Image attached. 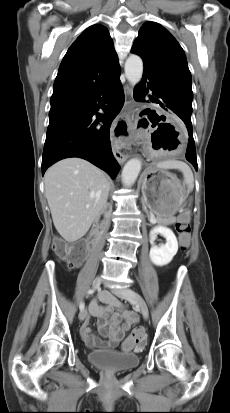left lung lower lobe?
<instances>
[{"mask_svg": "<svg viewBox=\"0 0 230 413\" xmlns=\"http://www.w3.org/2000/svg\"><path fill=\"white\" fill-rule=\"evenodd\" d=\"M148 87L152 90V94L155 97H152L150 100L155 103H159L160 106L168 111H171L176 116H178L185 124L188 131V147L186 151V159L195 167L197 170V159H196V150L195 143L192 133V123H191V113L188 112L183 105L177 101L170 99L160 93L158 88L155 85V82L152 78L143 75L142 81L134 90V99L138 102L145 101V95L148 93Z\"/></svg>", "mask_w": 230, "mask_h": 413, "instance_id": "left-lung-lower-lobe-1", "label": "left lung lower lobe"}]
</instances>
